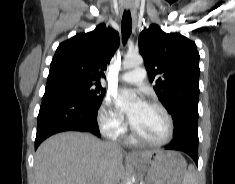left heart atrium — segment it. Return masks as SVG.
Masks as SVG:
<instances>
[{"label": "left heart atrium", "instance_id": "1", "mask_svg": "<svg viewBox=\"0 0 235 184\" xmlns=\"http://www.w3.org/2000/svg\"><path fill=\"white\" fill-rule=\"evenodd\" d=\"M129 96L130 94L126 91H120L115 95L114 102L117 110L126 114L130 124L134 126L142 111L147 107V104L138 93H134L132 100L129 99Z\"/></svg>", "mask_w": 235, "mask_h": 184}]
</instances>
